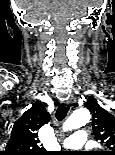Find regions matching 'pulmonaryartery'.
Returning <instances> with one entry per match:
<instances>
[{
  "label": "pulmonary artery",
  "instance_id": "pulmonary-artery-1",
  "mask_svg": "<svg viewBox=\"0 0 115 155\" xmlns=\"http://www.w3.org/2000/svg\"><path fill=\"white\" fill-rule=\"evenodd\" d=\"M87 142V133L84 130H77L62 141L66 149H79Z\"/></svg>",
  "mask_w": 115,
  "mask_h": 155
}]
</instances>
